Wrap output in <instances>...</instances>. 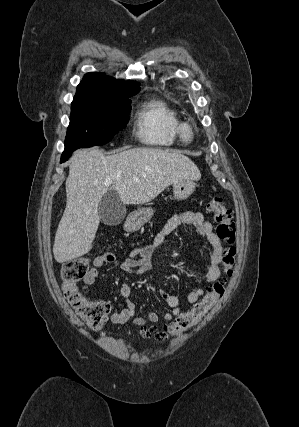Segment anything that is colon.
Returning <instances> with one entry per match:
<instances>
[{"label": "colon", "mask_w": 299, "mask_h": 427, "mask_svg": "<svg viewBox=\"0 0 299 427\" xmlns=\"http://www.w3.org/2000/svg\"><path fill=\"white\" fill-rule=\"evenodd\" d=\"M208 209L214 214L217 236L228 245L222 261L224 276L215 282L207 294L189 311L181 313L163 330L159 331L153 327L144 328L141 335L164 339L168 336L182 334L200 324L210 309L223 296L227 281L233 274L235 263L236 224L231 209L224 205L220 196L215 195L210 199ZM89 268L90 260L86 257H77L64 262L61 268L62 288L65 298L86 326L93 331H100L110 312V305L104 301L89 300L79 288L78 284L86 276Z\"/></svg>", "instance_id": "colon-1"}]
</instances>
